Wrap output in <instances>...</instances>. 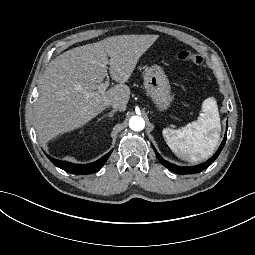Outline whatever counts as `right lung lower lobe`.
Here are the masks:
<instances>
[{
	"label": "right lung lower lobe",
	"mask_w": 255,
	"mask_h": 255,
	"mask_svg": "<svg viewBox=\"0 0 255 255\" xmlns=\"http://www.w3.org/2000/svg\"><path fill=\"white\" fill-rule=\"evenodd\" d=\"M112 151L98 159L97 161L89 164H74L67 161L56 160L50 156H47L49 160L57 167L63 169L64 171L76 175L91 174L98 171L107 161Z\"/></svg>",
	"instance_id": "98d812e1"
}]
</instances>
